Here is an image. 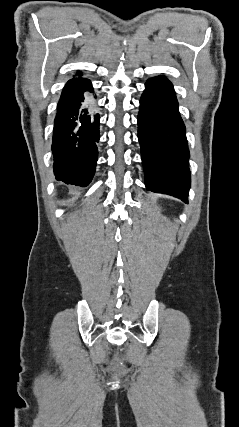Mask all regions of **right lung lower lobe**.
Instances as JSON below:
<instances>
[{
    "mask_svg": "<svg viewBox=\"0 0 239 427\" xmlns=\"http://www.w3.org/2000/svg\"><path fill=\"white\" fill-rule=\"evenodd\" d=\"M92 91L88 79L69 80L54 120L52 152L56 179L81 187L91 182L98 158L100 116L89 94Z\"/></svg>",
    "mask_w": 239,
    "mask_h": 427,
    "instance_id": "98d812e1",
    "label": "right lung lower lobe"
}]
</instances>
